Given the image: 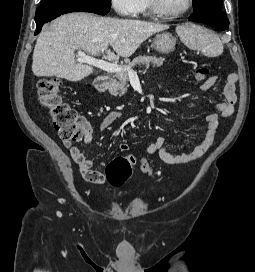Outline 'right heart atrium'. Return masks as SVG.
<instances>
[{
	"label": "right heart atrium",
	"instance_id": "right-heart-atrium-1",
	"mask_svg": "<svg viewBox=\"0 0 255 272\" xmlns=\"http://www.w3.org/2000/svg\"><path fill=\"white\" fill-rule=\"evenodd\" d=\"M140 0H110L115 12L121 16H134L138 13Z\"/></svg>",
	"mask_w": 255,
	"mask_h": 272
}]
</instances>
